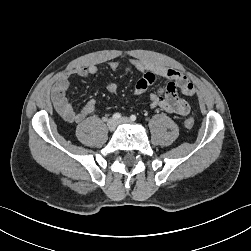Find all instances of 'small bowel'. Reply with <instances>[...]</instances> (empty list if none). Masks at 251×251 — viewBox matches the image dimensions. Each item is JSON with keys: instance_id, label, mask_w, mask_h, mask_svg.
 Instances as JSON below:
<instances>
[{"instance_id": "small-bowel-1", "label": "small bowel", "mask_w": 251, "mask_h": 251, "mask_svg": "<svg viewBox=\"0 0 251 251\" xmlns=\"http://www.w3.org/2000/svg\"><path fill=\"white\" fill-rule=\"evenodd\" d=\"M129 63L135 70L143 73L142 77L136 82L135 95L143 94L158 77L169 80L168 83L160 88L158 93L149 95L150 108H161L167 113L182 116L190 112L189 103L178 95V91L185 96H193L195 94V87L186 75L176 69L150 60L131 59ZM120 66L121 63L119 61L108 62V67L112 71L118 70ZM97 71L96 65H88L76 68L73 72L64 74L57 79L52 87L51 97L56 112L63 120L69 123H78L94 112L96 106L94 99L88 100L81 108H75L69 102L67 92L70 87V76L72 74L86 78L90 75H95ZM105 86L110 93H115L118 89L117 83L113 81L106 82Z\"/></svg>"}]
</instances>
